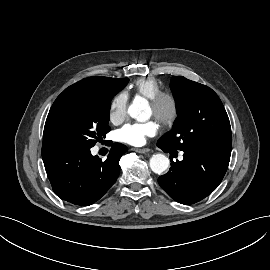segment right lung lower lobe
I'll use <instances>...</instances> for the list:
<instances>
[{
	"label": "right lung lower lobe",
	"mask_w": 270,
	"mask_h": 270,
	"mask_svg": "<svg viewBox=\"0 0 270 270\" xmlns=\"http://www.w3.org/2000/svg\"><path fill=\"white\" fill-rule=\"evenodd\" d=\"M127 147L115 143L105 161L92 156L90 148L70 145L42 147V159L55 194L75 205L99 200L116 181L119 159Z\"/></svg>",
	"instance_id": "right-lung-lower-lobe-1"
}]
</instances>
